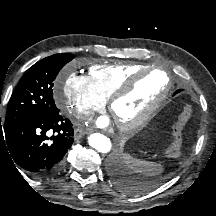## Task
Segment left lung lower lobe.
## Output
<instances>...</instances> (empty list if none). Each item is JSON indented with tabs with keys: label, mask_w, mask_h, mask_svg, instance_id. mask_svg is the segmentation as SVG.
Here are the masks:
<instances>
[{
	"label": "left lung lower lobe",
	"mask_w": 216,
	"mask_h": 216,
	"mask_svg": "<svg viewBox=\"0 0 216 216\" xmlns=\"http://www.w3.org/2000/svg\"><path fill=\"white\" fill-rule=\"evenodd\" d=\"M180 91L181 90H177L176 93ZM110 171L116 184L123 190L133 192L138 188V184L129 177L119 161H113Z\"/></svg>",
	"instance_id": "1"
}]
</instances>
